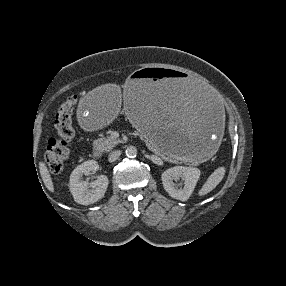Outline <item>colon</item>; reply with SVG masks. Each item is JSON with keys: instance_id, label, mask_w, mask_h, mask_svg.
<instances>
[{"instance_id": "obj_1", "label": "colon", "mask_w": 286, "mask_h": 286, "mask_svg": "<svg viewBox=\"0 0 286 286\" xmlns=\"http://www.w3.org/2000/svg\"><path fill=\"white\" fill-rule=\"evenodd\" d=\"M76 102V97L70 96L58 109L55 136L49 140L46 152V162L52 173H60L69 158V144L76 133L72 119Z\"/></svg>"}]
</instances>
